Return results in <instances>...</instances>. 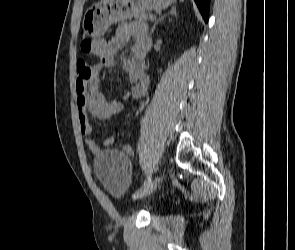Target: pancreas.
<instances>
[{
    "instance_id": "1",
    "label": "pancreas",
    "mask_w": 295,
    "mask_h": 250,
    "mask_svg": "<svg viewBox=\"0 0 295 250\" xmlns=\"http://www.w3.org/2000/svg\"><path fill=\"white\" fill-rule=\"evenodd\" d=\"M151 16L153 15L149 13H140L135 16V21L132 24H146L148 18Z\"/></svg>"
}]
</instances>
